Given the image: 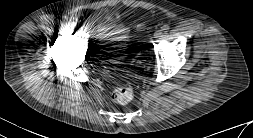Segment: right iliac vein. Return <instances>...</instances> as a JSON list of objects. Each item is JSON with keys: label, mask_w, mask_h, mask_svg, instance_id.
Here are the masks:
<instances>
[{"label": "right iliac vein", "mask_w": 253, "mask_h": 138, "mask_svg": "<svg viewBox=\"0 0 253 138\" xmlns=\"http://www.w3.org/2000/svg\"><path fill=\"white\" fill-rule=\"evenodd\" d=\"M75 33H76L77 35H80V34L82 33V29H81L80 27H76V28H75Z\"/></svg>", "instance_id": "63e3f726"}]
</instances>
